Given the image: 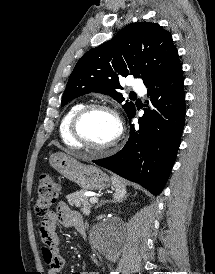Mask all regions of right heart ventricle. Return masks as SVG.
I'll return each mask as SVG.
<instances>
[{
    "label": "right heart ventricle",
    "mask_w": 215,
    "mask_h": 274,
    "mask_svg": "<svg viewBox=\"0 0 215 274\" xmlns=\"http://www.w3.org/2000/svg\"><path fill=\"white\" fill-rule=\"evenodd\" d=\"M85 104L83 102H78L73 104L62 117L59 124V135L62 142L68 147L81 148L82 146L73 138L71 134V122L74 115L79 109H81Z\"/></svg>",
    "instance_id": "right-heart-ventricle-1"
}]
</instances>
